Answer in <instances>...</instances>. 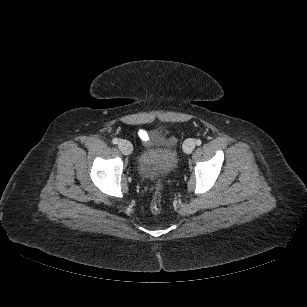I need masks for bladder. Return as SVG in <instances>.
<instances>
[{"mask_svg": "<svg viewBox=\"0 0 307 307\" xmlns=\"http://www.w3.org/2000/svg\"><path fill=\"white\" fill-rule=\"evenodd\" d=\"M177 163L178 156L173 147L150 148L139 154L136 170L140 178L154 180L171 175Z\"/></svg>", "mask_w": 307, "mask_h": 307, "instance_id": "31cf9c89", "label": "bladder"}]
</instances>
